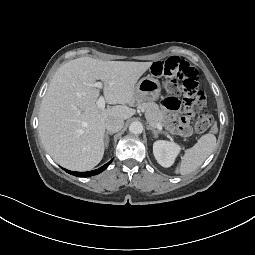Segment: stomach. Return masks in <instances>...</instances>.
I'll return each instance as SVG.
<instances>
[{
    "label": "stomach",
    "mask_w": 255,
    "mask_h": 255,
    "mask_svg": "<svg viewBox=\"0 0 255 255\" xmlns=\"http://www.w3.org/2000/svg\"><path fill=\"white\" fill-rule=\"evenodd\" d=\"M160 92V82L152 76L142 78L135 87L138 103L155 101L160 97Z\"/></svg>",
    "instance_id": "obj_1"
}]
</instances>
